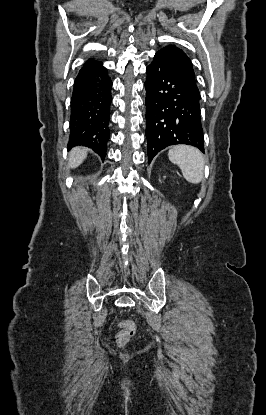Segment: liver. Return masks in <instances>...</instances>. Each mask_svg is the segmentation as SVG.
I'll use <instances>...</instances> for the list:
<instances>
[{"label": "liver", "instance_id": "liver-1", "mask_svg": "<svg viewBox=\"0 0 266 415\" xmlns=\"http://www.w3.org/2000/svg\"><path fill=\"white\" fill-rule=\"evenodd\" d=\"M86 157H87V149L81 148V147H75L70 151L68 166L70 168H76L80 164L83 163Z\"/></svg>", "mask_w": 266, "mask_h": 415}]
</instances>
